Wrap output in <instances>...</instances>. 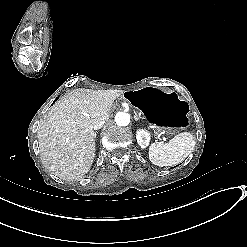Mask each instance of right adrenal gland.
<instances>
[{
	"mask_svg": "<svg viewBox=\"0 0 247 247\" xmlns=\"http://www.w3.org/2000/svg\"><path fill=\"white\" fill-rule=\"evenodd\" d=\"M96 136H97V133L95 132V133H94V137L96 138Z\"/></svg>",
	"mask_w": 247,
	"mask_h": 247,
	"instance_id": "1",
	"label": "right adrenal gland"
}]
</instances>
